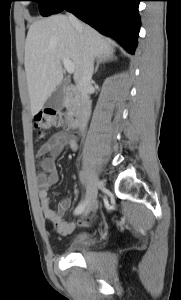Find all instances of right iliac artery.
Wrapping results in <instances>:
<instances>
[{
  "instance_id": "obj_1",
  "label": "right iliac artery",
  "mask_w": 181,
  "mask_h": 300,
  "mask_svg": "<svg viewBox=\"0 0 181 300\" xmlns=\"http://www.w3.org/2000/svg\"><path fill=\"white\" fill-rule=\"evenodd\" d=\"M86 204H87V201H82V202L76 207L74 213H75L76 215L81 214V213L84 211Z\"/></svg>"
}]
</instances>
